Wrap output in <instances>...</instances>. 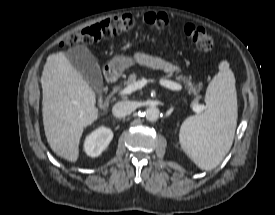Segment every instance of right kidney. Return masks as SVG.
<instances>
[{
    "mask_svg": "<svg viewBox=\"0 0 275 215\" xmlns=\"http://www.w3.org/2000/svg\"><path fill=\"white\" fill-rule=\"evenodd\" d=\"M113 138V132L106 127H100L88 135L84 142V150L88 156L97 157L108 147Z\"/></svg>",
    "mask_w": 275,
    "mask_h": 215,
    "instance_id": "ca27d5eb",
    "label": "right kidney"
}]
</instances>
